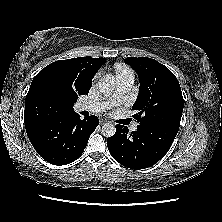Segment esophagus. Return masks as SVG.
Wrapping results in <instances>:
<instances>
[{"label": "esophagus", "mask_w": 222, "mask_h": 222, "mask_svg": "<svg viewBox=\"0 0 222 222\" xmlns=\"http://www.w3.org/2000/svg\"><path fill=\"white\" fill-rule=\"evenodd\" d=\"M105 123H107L106 120H101V121H100V124H101V125H102V124H105Z\"/></svg>", "instance_id": "obj_1"}]
</instances>
